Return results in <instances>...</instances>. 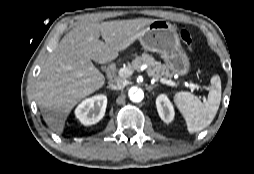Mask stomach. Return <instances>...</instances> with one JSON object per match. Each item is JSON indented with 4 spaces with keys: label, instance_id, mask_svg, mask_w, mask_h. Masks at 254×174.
Wrapping results in <instances>:
<instances>
[{
    "label": "stomach",
    "instance_id": "0dacf381",
    "mask_svg": "<svg viewBox=\"0 0 254 174\" xmlns=\"http://www.w3.org/2000/svg\"><path fill=\"white\" fill-rule=\"evenodd\" d=\"M139 40L145 50L160 54L173 74L183 77L190 72V59L181 47L175 26L168 21L154 20Z\"/></svg>",
    "mask_w": 254,
    "mask_h": 174
}]
</instances>
